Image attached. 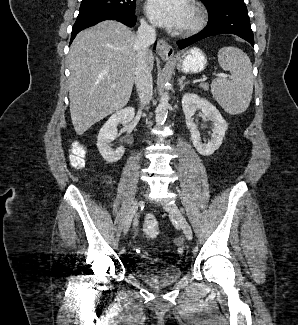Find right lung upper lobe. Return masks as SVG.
I'll use <instances>...</instances> for the list:
<instances>
[{"mask_svg":"<svg viewBox=\"0 0 298 325\" xmlns=\"http://www.w3.org/2000/svg\"><path fill=\"white\" fill-rule=\"evenodd\" d=\"M109 10H105V11H100V12H108ZM98 13V12H97Z\"/></svg>","mask_w":298,"mask_h":325,"instance_id":"1","label":"right lung upper lobe"}]
</instances>
